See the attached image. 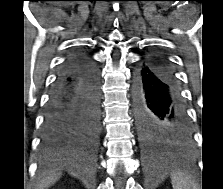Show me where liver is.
I'll return each instance as SVG.
<instances>
[{
  "instance_id": "obj_1",
  "label": "liver",
  "mask_w": 223,
  "mask_h": 189,
  "mask_svg": "<svg viewBox=\"0 0 223 189\" xmlns=\"http://www.w3.org/2000/svg\"><path fill=\"white\" fill-rule=\"evenodd\" d=\"M60 175H61L60 173H52L47 176H44L40 180L37 189L48 188L49 186L54 184L60 178Z\"/></svg>"
}]
</instances>
